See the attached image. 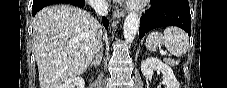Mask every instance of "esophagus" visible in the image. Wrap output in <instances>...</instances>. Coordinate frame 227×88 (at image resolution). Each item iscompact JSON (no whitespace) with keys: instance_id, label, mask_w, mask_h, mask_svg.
<instances>
[{"instance_id":"34e87169","label":"esophagus","mask_w":227,"mask_h":88,"mask_svg":"<svg viewBox=\"0 0 227 88\" xmlns=\"http://www.w3.org/2000/svg\"><path fill=\"white\" fill-rule=\"evenodd\" d=\"M124 16H125L124 10H114L113 11V17L114 18H119V17H124Z\"/></svg>"}]
</instances>
